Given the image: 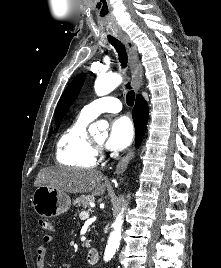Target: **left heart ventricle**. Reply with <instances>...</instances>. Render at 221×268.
Instances as JSON below:
<instances>
[{"label":"left heart ventricle","mask_w":221,"mask_h":268,"mask_svg":"<svg viewBox=\"0 0 221 268\" xmlns=\"http://www.w3.org/2000/svg\"><path fill=\"white\" fill-rule=\"evenodd\" d=\"M94 139L98 142V143H103L104 141V137H101V136H97V137H94Z\"/></svg>","instance_id":"left-heart-ventricle-1"}]
</instances>
